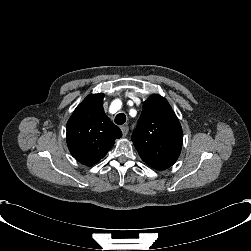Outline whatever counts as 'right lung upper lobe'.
<instances>
[{"label":"right lung upper lobe","mask_w":251,"mask_h":251,"mask_svg":"<svg viewBox=\"0 0 251 251\" xmlns=\"http://www.w3.org/2000/svg\"><path fill=\"white\" fill-rule=\"evenodd\" d=\"M104 94H90L72 113L66 126L67 145L80 163L92 166L102 159L122 136L103 111Z\"/></svg>","instance_id":"1"}]
</instances>
